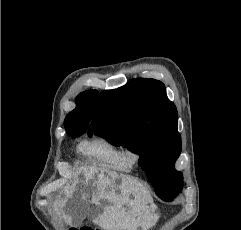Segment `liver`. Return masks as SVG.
<instances>
[{
  "label": "liver",
  "instance_id": "obj_1",
  "mask_svg": "<svg viewBox=\"0 0 241 230\" xmlns=\"http://www.w3.org/2000/svg\"><path fill=\"white\" fill-rule=\"evenodd\" d=\"M79 172H83L86 180L93 181L91 204H95L96 208L87 209V212L89 215L98 212L93 222L102 229L138 230L141 227L142 230H148L155 225L157 218L149 206L152 198L140 183L99 167H83ZM117 179L119 182H116ZM75 185L76 183L65 187L66 199L62 201L61 208L65 206L67 199L72 198ZM81 198L85 201V194ZM105 200L109 205H104L99 212L101 201ZM63 218L67 224H72L70 214L63 212Z\"/></svg>",
  "mask_w": 241,
  "mask_h": 230
}]
</instances>
